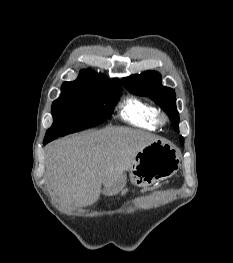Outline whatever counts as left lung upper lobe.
Listing matches in <instances>:
<instances>
[{
  "instance_id": "obj_1",
  "label": "left lung upper lobe",
  "mask_w": 233,
  "mask_h": 263,
  "mask_svg": "<svg viewBox=\"0 0 233 263\" xmlns=\"http://www.w3.org/2000/svg\"><path fill=\"white\" fill-rule=\"evenodd\" d=\"M124 86L132 93L148 96L169 115L173 128L178 131L179 113L173 89L161 85V76L155 71L132 75L123 79ZM182 138V137H181Z\"/></svg>"
}]
</instances>
